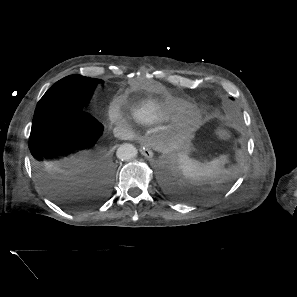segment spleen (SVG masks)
<instances>
[{"label":"spleen","instance_id":"3e777b00","mask_svg":"<svg viewBox=\"0 0 297 297\" xmlns=\"http://www.w3.org/2000/svg\"><path fill=\"white\" fill-rule=\"evenodd\" d=\"M227 160L225 155L210 162L201 163L190 158L186 154H180L178 158L179 168L183 175L195 184L205 182H215L220 176L225 174L223 166Z\"/></svg>","mask_w":297,"mask_h":297}]
</instances>
